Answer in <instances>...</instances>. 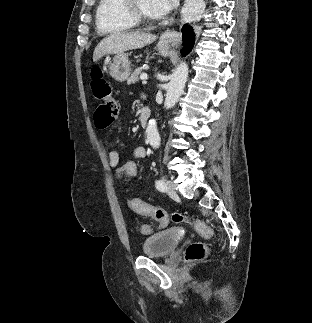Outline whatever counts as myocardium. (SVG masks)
<instances>
[{"mask_svg":"<svg viewBox=\"0 0 312 323\" xmlns=\"http://www.w3.org/2000/svg\"><path fill=\"white\" fill-rule=\"evenodd\" d=\"M138 0H127L124 1V9L122 13L124 15H131L136 25H154L155 19L151 18L149 12H144L143 8H139Z\"/></svg>","mask_w":312,"mask_h":323,"instance_id":"myocardium-1","label":"myocardium"}]
</instances>
